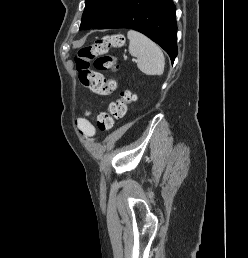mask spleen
<instances>
[{"label": "spleen", "mask_w": 248, "mask_h": 258, "mask_svg": "<svg viewBox=\"0 0 248 258\" xmlns=\"http://www.w3.org/2000/svg\"><path fill=\"white\" fill-rule=\"evenodd\" d=\"M129 52L137 57L138 68L146 75H162L165 58L160 47L142 33L129 30Z\"/></svg>", "instance_id": "1"}]
</instances>
